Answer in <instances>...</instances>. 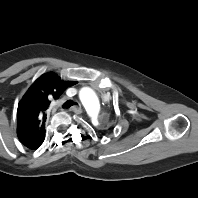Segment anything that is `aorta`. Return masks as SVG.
<instances>
[{
	"label": "aorta",
	"instance_id": "762f6f07",
	"mask_svg": "<svg viewBox=\"0 0 198 198\" xmlns=\"http://www.w3.org/2000/svg\"><path fill=\"white\" fill-rule=\"evenodd\" d=\"M79 97L83 106L90 114L98 113L100 108L99 99L91 88H82L79 92Z\"/></svg>",
	"mask_w": 198,
	"mask_h": 198
}]
</instances>
